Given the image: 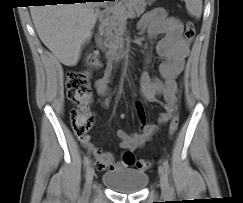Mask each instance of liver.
<instances>
[{
    "label": "liver",
    "mask_w": 243,
    "mask_h": 203,
    "mask_svg": "<svg viewBox=\"0 0 243 203\" xmlns=\"http://www.w3.org/2000/svg\"><path fill=\"white\" fill-rule=\"evenodd\" d=\"M96 3L41 5L30 8L43 44L66 66L77 65L81 48L97 21Z\"/></svg>",
    "instance_id": "liver-1"
}]
</instances>
